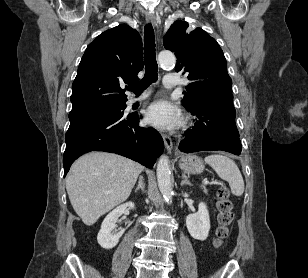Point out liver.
Here are the masks:
<instances>
[{
	"instance_id": "6515ba94",
	"label": "liver",
	"mask_w": 308,
	"mask_h": 278,
	"mask_svg": "<svg viewBox=\"0 0 308 278\" xmlns=\"http://www.w3.org/2000/svg\"><path fill=\"white\" fill-rule=\"evenodd\" d=\"M143 166L123 156L90 152L71 166L66 190L71 205L85 225L126 201Z\"/></svg>"
}]
</instances>
